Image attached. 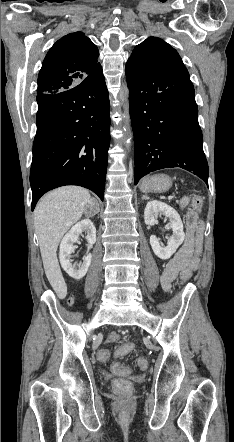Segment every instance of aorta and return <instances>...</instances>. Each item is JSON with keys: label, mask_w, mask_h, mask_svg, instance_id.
<instances>
[{"label": "aorta", "mask_w": 234, "mask_h": 442, "mask_svg": "<svg viewBox=\"0 0 234 442\" xmlns=\"http://www.w3.org/2000/svg\"><path fill=\"white\" fill-rule=\"evenodd\" d=\"M124 96H125V99L126 100H128V97H129V90H128V88L126 87L125 88V91H124ZM126 147H128V145L126 144Z\"/></svg>", "instance_id": "762f6f07"}]
</instances>
